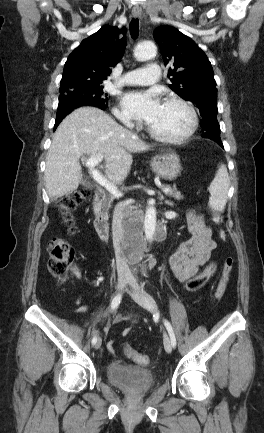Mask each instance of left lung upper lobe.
<instances>
[{"mask_svg": "<svg viewBox=\"0 0 264 433\" xmlns=\"http://www.w3.org/2000/svg\"><path fill=\"white\" fill-rule=\"evenodd\" d=\"M165 65H170L169 87L186 101L193 103L202 117L217 116V89L213 68L205 53L188 36L170 26L154 32ZM203 136L221 141L220 127L203 129Z\"/></svg>", "mask_w": 264, "mask_h": 433, "instance_id": "1", "label": "left lung upper lobe"}]
</instances>
